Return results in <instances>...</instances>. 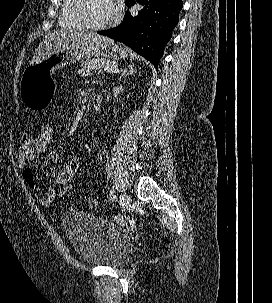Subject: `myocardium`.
<instances>
[{"instance_id":"myocardium-1","label":"myocardium","mask_w":272,"mask_h":303,"mask_svg":"<svg viewBox=\"0 0 272 303\" xmlns=\"http://www.w3.org/2000/svg\"><path fill=\"white\" fill-rule=\"evenodd\" d=\"M86 0H73V4L71 6V15L75 21H77L83 28L89 30H104L111 26H113L117 21V16L115 15L111 20L103 23V24H93L89 22L83 12L84 5Z\"/></svg>"}]
</instances>
